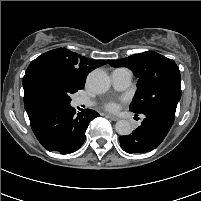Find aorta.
<instances>
[{
    "label": "aorta",
    "instance_id": "1",
    "mask_svg": "<svg viewBox=\"0 0 201 201\" xmlns=\"http://www.w3.org/2000/svg\"><path fill=\"white\" fill-rule=\"evenodd\" d=\"M87 85L96 93H105L110 88V78L103 70L95 69L89 73ZM115 129L122 136L129 135L132 131L131 124L127 120L117 121Z\"/></svg>",
    "mask_w": 201,
    "mask_h": 201
}]
</instances>
